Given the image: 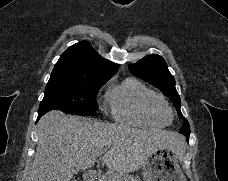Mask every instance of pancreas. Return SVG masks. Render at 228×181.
Returning a JSON list of instances; mask_svg holds the SVG:
<instances>
[{
  "mask_svg": "<svg viewBox=\"0 0 228 181\" xmlns=\"http://www.w3.org/2000/svg\"><path fill=\"white\" fill-rule=\"evenodd\" d=\"M102 179H105V181H135L133 175L116 173V171H107Z\"/></svg>",
  "mask_w": 228,
  "mask_h": 181,
  "instance_id": "obj_1",
  "label": "pancreas"
}]
</instances>
